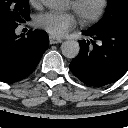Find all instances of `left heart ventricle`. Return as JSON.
<instances>
[{
	"mask_svg": "<svg viewBox=\"0 0 128 128\" xmlns=\"http://www.w3.org/2000/svg\"><path fill=\"white\" fill-rule=\"evenodd\" d=\"M96 4H97V0H89L85 7H84V10L86 12H91L92 10H94V8L96 7Z\"/></svg>",
	"mask_w": 128,
	"mask_h": 128,
	"instance_id": "left-heart-ventricle-1",
	"label": "left heart ventricle"
}]
</instances>
